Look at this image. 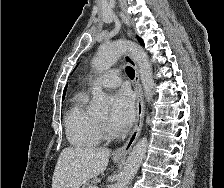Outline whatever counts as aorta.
Here are the masks:
<instances>
[{
    "label": "aorta",
    "mask_w": 224,
    "mask_h": 188,
    "mask_svg": "<svg viewBox=\"0 0 224 188\" xmlns=\"http://www.w3.org/2000/svg\"><path fill=\"white\" fill-rule=\"evenodd\" d=\"M130 52L134 61L138 64L141 83L146 100L150 102L153 95V72L147 53L139 45L126 41L117 40L103 44L99 47L93 58L92 64L96 71L102 73L108 70L124 53ZM109 98L101 87H95L90 108L95 112H105L108 109ZM148 147V140L143 137L129 154L116 188H128L129 183L138 171Z\"/></svg>",
    "instance_id": "aorta-1"
}]
</instances>
